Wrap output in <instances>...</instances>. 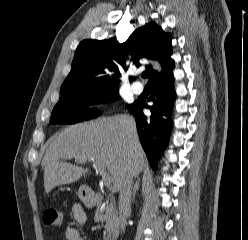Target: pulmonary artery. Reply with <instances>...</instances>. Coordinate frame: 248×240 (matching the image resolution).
Instances as JSON below:
<instances>
[{
	"label": "pulmonary artery",
	"mask_w": 248,
	"mask_h": 240,
	"mask_svg": "<svg viewBox=\"0 0 248 240\" xmlns=\"http://www.w3.org/2000/svg\"><path fill=\"white\" fill-rule=\"evenodd\" d=\"M132 91L135 93V94H140L142 93L143 91V85L142 83L136 81L132 84Z\"/></svg>",
	"instance_id": "1"
}]
</instances>
